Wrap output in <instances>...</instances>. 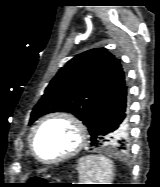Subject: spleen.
<instances>
[{
    "mask_svg": "<svg viewBox=\"0 0 160 187\" xmlns=\"http://www.w3.org/2000/svg\"><path fill=\"white\" fill-rule=\"evenodd\" d=\"M79 181L85 184H110L113 180V162L103 155L85 156L77 165Z\"/></svg>",
    "mask_w": 160,
    "mask_h": 187,
    "instance_id": "spleen-1",
    "label": "spleen"
}]
</instances>
